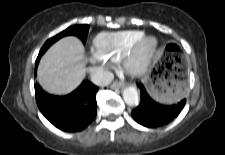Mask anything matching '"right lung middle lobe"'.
Wrapping results in <instances>:
<instances>
[{
  "instance_id": "1",
  "label": "right lung middle lobe",
  "mask_w": 225,
  "mask_h": 155,
  "mask_svg": "<svg viewBox=\"0 0 225 155\" xmlns=\"http://www.w3.org/2000/svg\"><path fill=\"white\" fill-rule=\"evenodd\" d=\"M89 25H75L68 27L63 32L59 33L58 35L52 37L49 39L42 47V49L39 52V56H42V54L58 39L61 37L67 36V35H75L79 37L83 42H85L87 35H88Z\"/></svg>"
}]
</instances>
